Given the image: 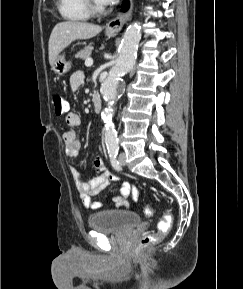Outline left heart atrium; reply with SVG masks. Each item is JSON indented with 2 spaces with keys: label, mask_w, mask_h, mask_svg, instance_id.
Listing matches in <instances>:
<instances>
[{
  "label": "left heart atrium",
  "mask_w": 243,
  "mask_h": 289,
  "mask_svg": "<svg viewBox=\"0 0 243 289\" xmlns=\"http://www.w3.org/2000/svg\"><path fill=\"white\" fill-rule=\"evenodd\" d=\"M115 0H99V2L102 4V5H108L110 3H113Z\"/></svg>",
  "instance_id": "obj_1"
}]
</instances>
